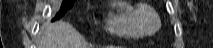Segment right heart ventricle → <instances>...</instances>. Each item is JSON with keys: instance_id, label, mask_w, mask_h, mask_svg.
I'll use <instances>...</instances> for the list:
<instances>
[{"instance_id": "right-heart-ventricle-1", "label": "right heart ventricle", "mask_w": 213, "mask_h": 48, "mask_svg": "<svg viewBox=\"0 0 213 48\" xmlns=\"http://www.w3.org/2000/svg\"><path fill=\"white\" fill-rule=\"evenodd\" d=\"M138 11L139 7L130 1H118L107 15V29L111 33L126 39L143 38L146 34L140 29L136 21Z\"/></svg>"}]
</instances>
